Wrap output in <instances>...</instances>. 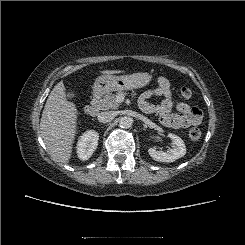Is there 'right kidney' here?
Here are the masks:
<instances>
[{
  "instance_id": "ca27d5eb",
  "label": "right kidney",
  "mask_w": 245,
  "mask_h": 245,
  "mask_svg": "<svg viewBox=\"0 0 245 245\" xmlns=\"http://www.w3.org/2000/svg\"><path fill=\"white\" fill-rule=\"evenodd\" d=\"M99 134L94 130L84 133L77 143L78 157L85 161L88 160L98 146Z\"/></svg>"
}]
</instances>
